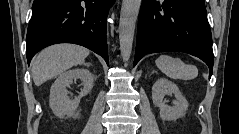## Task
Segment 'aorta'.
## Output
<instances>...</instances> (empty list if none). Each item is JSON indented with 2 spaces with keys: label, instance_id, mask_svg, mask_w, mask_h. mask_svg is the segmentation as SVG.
<instances>
[{
  "label": "aorta",
  "instance_id": "1",
  "mask_svg": "<svg viewBox=\"0 0 239 134\" xmlns=\"http://www.w3.org/2000/svg\"><path fill=\"white\" fill-rule=\"evenodd\" d=\"M141 0H123L119 21L120 51L125 62L130 58Z\"/></svg>",
  "mask_w": 239,
  "mask_h": 134
}]
</instances>
